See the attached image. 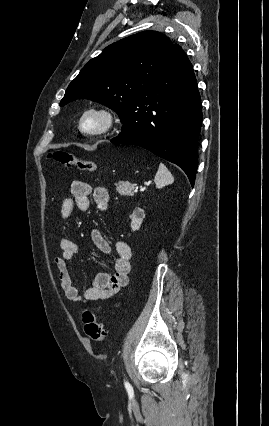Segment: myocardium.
Masks as SVG:
<instances>
[{"label":"myocardium","instance_id":"f54148a6","mask_svg":"<svg viewBox=\"0 0 269 426\" xmlns=\"http://www.w3.org/2000/svg\"><path fill=\"white\" fill-rule=\"evenodd\" d=\"M97 117L100 120L99 126L93 129L85 127V121L88 117ZM118 118L116 113L106 107L93 106L86 109L79 119V129L88 136H100L110 132L116 126Z\"/></svg>","mask_w":269,"mask_h":426}]
</instances>
